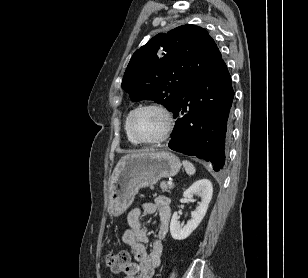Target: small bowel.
Masks as SVG:
<instances>
[{
	"label": "small bowel",
	"instance_id": "c3829d8e",
	"mask_svg": "<svg viewBox=\"0 0 308 278\" xmlns=\"http://www.w3.org/2000/svg\"><path fill=\"white\" fill-rule=\"evenodd\" d=\"M158 214L159 225L152 249L148 252L149 241L142 216ZM171 218L170 199L159 196L154 202L144 203L142 208L132 209L127 216L128 228L122 235L123 242L129 247L132 261L123 272V278H153L162 256V240L166 236Z\"/></svg>",
	"mask_w": 308,
	"mask_h": 278
}]
</instances>
